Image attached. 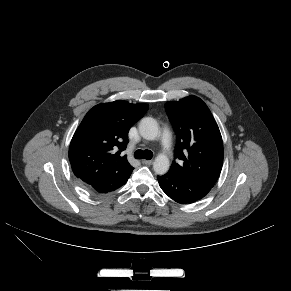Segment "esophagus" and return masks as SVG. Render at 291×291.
<instances>
[{
  "label": "esophagus",
  "instance_id": "34e87169",
  "mask_svg": "<svg viewBox=\"0 0 291 291\" xmlns=\"http://www.w3.org/2000/svg\"><path fill=\"white\" fill-rule=\"evenodd\" d=\"M142 163L144 164V165H151V164H153V160H142Z\"/></svg>",
  "mask_w": 291,
  "mask_h": 291
}]
</instances>
